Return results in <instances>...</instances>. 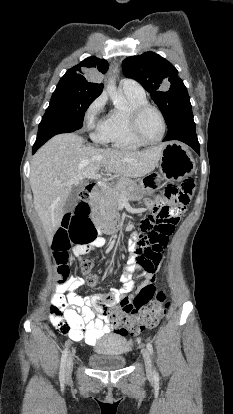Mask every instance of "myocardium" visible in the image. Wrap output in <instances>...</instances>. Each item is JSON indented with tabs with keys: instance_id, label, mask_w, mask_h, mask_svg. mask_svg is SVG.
Instances as JSON below:
<instances>
[{
	"instance_id": "f54148a6",
	"label": "myocardium",
	"mask_w": 233,
	"mask_h": 414,
	"mask_svg": "<svg viewBox=\"0 0 233 414\" xmlns=\"http://www.w3.org/2000/svg\"><path fill=\"white\" fill-rule=\"evenodd\" d=\"M148 110H154L155 112L158 113V115L161 118L162 133H161L160 137L156 140L146 139L143 136V134L141 133V130H140V126H139L140 118ZM128 121H129V127H130V130H131L132 134L134 135V137L138 141L142 142L143 144H146V145L157 144L160 141H162V139L165 137V134H166V131H167L166 118H165V115L162 112V110L160 108H158L157 106H155V105L145 103V104H142V105H139V106H136V107L130 109V111L128 113Z\"/></svg>"
}]
</instances>
